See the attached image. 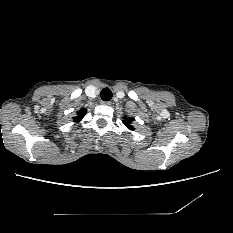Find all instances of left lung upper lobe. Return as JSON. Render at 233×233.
Returning <instances> with one entry per match:
<instances>
[{"label":"left lung upper lobe","mask_w":233,"mask_h":233,"mask_svg":"<svg viewBox=\"0 0 233 233\" xmlns=\"http://www.w3.org/2000/svg\"><path fill=\"white\" fill-rule=\"evenodd\" d=\"M134 119L131 117H128L126 120H123V123L127 126V128H129L130 130H133V127L130 125V123L133 121Z\"/></svg>","instance_id":"obj_1"}]
</instances>
